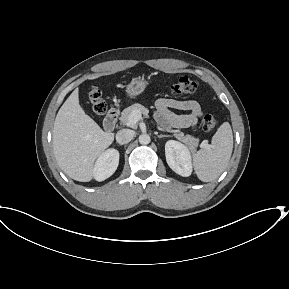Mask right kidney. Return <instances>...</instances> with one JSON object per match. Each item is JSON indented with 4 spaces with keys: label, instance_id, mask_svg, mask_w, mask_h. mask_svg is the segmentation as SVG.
<instances>
[{
    "label": "right kidney",
    "instance_id": "1",
    "mask_svg": "<svg viewBox=\"0 0 289 289\" xmlns=\"http://www.w3.org/2000/svg\"><path fill=\"white\" fill-rule=\"evenodd\" d=\"M119 164V152L116 149H108L101 153L95 162L93 176L97 181L109 178L117 169Z\"/></svg>",
    "mask_w": 289,
    "mask_h": 289
}]
</instances>
